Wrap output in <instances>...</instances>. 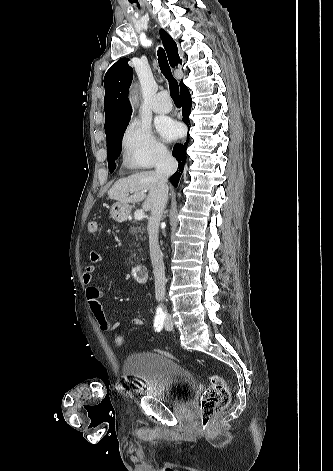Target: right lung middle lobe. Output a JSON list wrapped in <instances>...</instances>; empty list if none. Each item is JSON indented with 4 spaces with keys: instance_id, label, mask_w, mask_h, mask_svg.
Returning a JSON list of instances; mask_svg holds the SVG:
<instances>
[{
    "instance_id": "1",
    "label": "right lung middle lobe",
    "mask_w": 333,
    "mask_h": 471,
    "mask_svg": "<svg viewBox=\"0 0 333 471\" xmlns=\"http://www.w3.org/2000/svg\"><path fill=\"white\" fill-rule=\"evenodd\" d=\"M128 123L129 120L124 121L113 126L105 132L107 138V154L110 172H113L115 169L114 161L120 155L122 138Z\"/></svg>"
}]
</instances>
